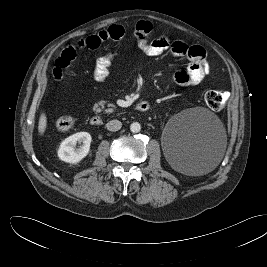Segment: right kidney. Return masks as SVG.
Here are the masks:
<instances>
[{
	"label": "right kidney",
	"mask_w": 267,
	"mask_h": 267,
	"mask_svg": "<svg viewBox=\"0 0 267 267\" xmlns=\"http://www.w3.org/2000/svg\"><path fill=\"white\" fill-rule=\"evenodd\" d=\"M92 138L87 132H78L67 137L59 146L57 155L60 160L68 163H78L85 158L90 151ZM77 143H82L80 148H75Z\"/></svg>",
	"instance_id": "1"
}]
</instances>
